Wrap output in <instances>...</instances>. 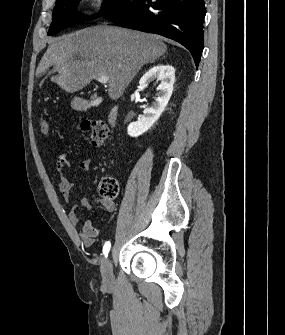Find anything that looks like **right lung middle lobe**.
Here are the masks:
<instances>
[{"mask_svg": "<svg viewBox=\"0 0 285 335\" xmlns=\"http://www.w3.org/2000/svg\"><path fill=\"white\" fill-rule=\"evenodd\" d=\"M79 1L80 0H59L56 2L48 35H54L69 25L85 21V18L76 10ZM118 2L119 0H107V2L102 5L100 12L93 18L105 14Z\"/></svg>", "mask_w": 285, "mask_h": 335, "instance_id": "right-lung-middle-lobe-1", "label": "right lung middle lobe"}]
</instances>
